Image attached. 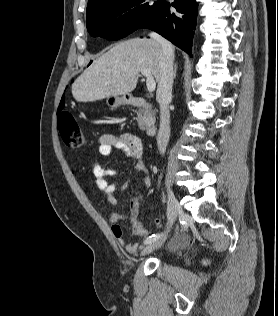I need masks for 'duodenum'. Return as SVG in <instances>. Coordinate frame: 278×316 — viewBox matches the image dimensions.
I'll list each match as a JSON object with an SVG mask.
<instances>
[{
    "mask_svg": "<svg viewBox=\"0 0 278 316\" xmlns=\"http://www.w3.org/2000/svg\"><path fill=\"white\" fill-rule=\"evenodd\" d=\"M125 100L128 104L136 106V107H141L144 106L146 104V100L142 97H136L133 95H127L125 97ZM157 132V126L155 124H149L146 127V133L150 136L155 135Z\"/></svg>",
    "mask_w": 278,
    "mask_h": 316,
    "instance_id": "410a0bca",
    "label": "duodenum"
}]
</instances>
